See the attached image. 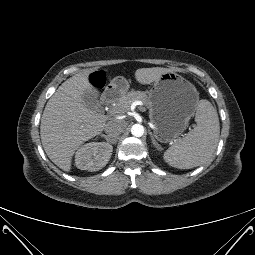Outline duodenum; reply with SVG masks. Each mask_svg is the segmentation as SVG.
Segmentation results:
<instances>
[{
	"instance_id": "410a0bca",
	"label": "duodenum",
	"mask_w": 255,
	"mask_h": 255,
	"mask_svg": "<svg viewBox=\"0 0 255 255\" xmlns=\"http://www.w3.org/2000/svg\"><path fill=\"white\" fill-rule=\"evenodd\" d=\"M119 89L120 88L116 85H112L109 88L105 89L101 94V102L103 104H108L109 102H111L116 97Z\"/></svg>"
}]
</instances>
